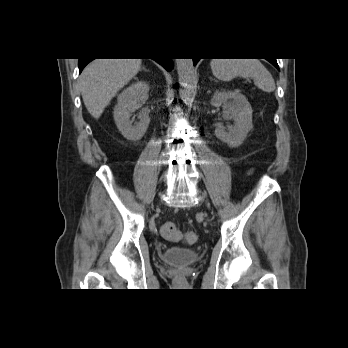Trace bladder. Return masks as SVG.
Wrapping results in <instances>:
<instances>
[{
	"label": "bladder",
	"mask_w": 348,
	"mask_h": 348,
	"mask_svg": "<svg viewBox=\"0 0 348 348\" xmlns=\"http://www.w3.org/2000/svg\"><path fill=\"white\" fill-rule=\"evenodd\" d=\"M200 254L195 249H188L179 246H173L162 254L163 262L172 265H187L196 262Z\"/></svg>",
	"instance_id": "31cf9c89"
}]
</instances>
